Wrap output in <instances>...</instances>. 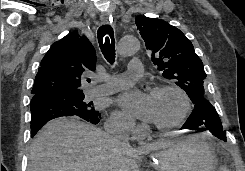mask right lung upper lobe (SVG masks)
Returning a JSON list of instances; mask_svg holds the SVG:
<instances>
[{"label":"right lung upper lobe","instance_id":"1","mask_svg":"<svg viewBox=\"0 0 245 171\" xmlns=\"http://www.w3.org/2000/svg\"><path fill=\"white\" fill-rule=\"evenodd\" d=\"M95 65L96 52L87 37L70 32L43 57L31 93L34 97L82 95L81 76L94 71Z\"/></svg>","mask_w":245,"mask_h":171}]
</instances>
